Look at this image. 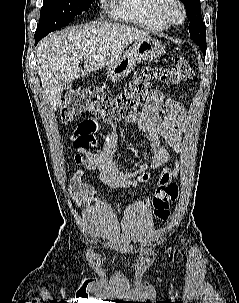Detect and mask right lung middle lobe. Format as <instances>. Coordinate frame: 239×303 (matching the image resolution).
Returning <instances> with one entry per match:
<instances>
[{
	"mask_svg": "<svg viewBox=\"0 0 239 303\" xmlns=\"http://www.w3.org/2000/svg\"><path fill=\"white\" fill-rule=\"evenodd\" d=\"M92 0H44L36 32L50 33L87 11Z\"/></svg>",
	"mask_w": 239,
	"mask_h": 303,
	"instance_id": "1",
	"label": "right lung middle lobe"
}]
</instances>
